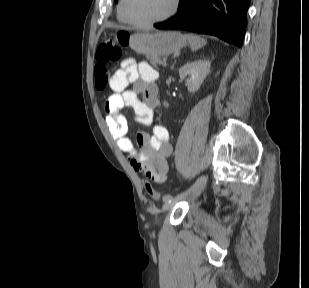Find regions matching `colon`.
Segmentation results:
<instances>
[{
	"mask_svg": "<svg viewBox=\"0 0 309 288\" xmlns=\"http://www.w3.org/2000/svg\"><path fill=\"white\" fill-rule=\"evenodd\" d=\"M129 34L121 31L113 40L100 43L96 50V65L94 70V85L97 90H105L109 84L110 68L121 58L123 47L129 42ZM144 188L153 200H160L162 194L154 189L152 184L144 180Z\"/></svg>",
	"mask_w": 309,
	"mask_h": 288,
	"instance_id": "1",
	"label": "colon"
}]
</instances>
